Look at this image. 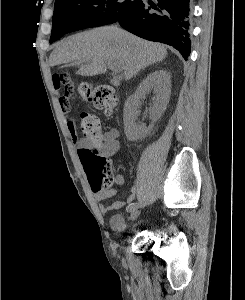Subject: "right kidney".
Wrapping results in <instances>:
<instances>
[{"label":"right kidney","instance_id":"right-kidney-1","mask_svg":"<svg viewBox=\"0 0 245 300\" xmlns=\"http://www.w3.org/2000/svg\"><path fill=\"white\" fill-rule=\"evenodd\" d=\"M153 92V122L161 117L166 110L171 93L170 75L164 70H157L149 74L138 86L133 95L128 97L124 106L123 120L124 131L129 141H137L147 136L152 126L146 127L144 124L136 122V109L140 99L146 94Z\"/></svg>","mask_w":245,"mask_h":300}]
</instances>
